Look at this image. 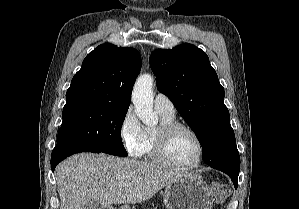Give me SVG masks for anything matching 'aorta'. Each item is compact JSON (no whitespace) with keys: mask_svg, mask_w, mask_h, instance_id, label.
I'll return each mask as SVG.
<instances>
[{"mask_svg":"<svg viewBox=\"0 0 299 209\" xmlns=\"http://www.w3.org/2000/svg\"><path fill=\"white\" fill-rule=\"evenodd\" d=\"M131 99L138 118L145 125L154 126L158 123V117L153 111V78L149 74L138 77Z\"/></svg>","mask_w":299,"mask_h":209,"instance_id":"aorta-1","label":"aorta"}]
</instances>
